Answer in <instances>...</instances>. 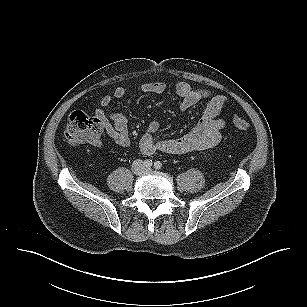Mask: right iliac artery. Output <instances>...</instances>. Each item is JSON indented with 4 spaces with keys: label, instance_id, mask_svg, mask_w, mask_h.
<instances>
[{
    "label": "right iliac artery",
    "instance_id": "obj_1",
    "mask_svg": "<svg viewBox=\"0 0 307 307\" xmlns=\"http://www.w3.org/2000/svg\"><path fill=\"white\" fill-rule=\"evenodd\" d=\"M152 165H153V162H152L151 159H146V160L144 161V166H145L146 168H150Z\"/></svg>",
    "mask_w": 307,
    "mask_h": 307
}]
</instances>
